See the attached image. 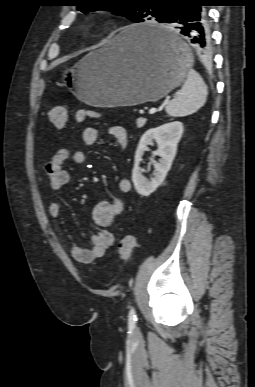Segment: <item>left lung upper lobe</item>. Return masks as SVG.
I'll return each mask as SVG.
<instances>
[{"instance_id": "5c2ea615", "label": "left lung upper lobe", "mask_w": 255, "mask_h": 387, "mask_svg": "<svg viewBox=\"0 0 255 387\" xmlns=\"http://www.w3.org/2000/svg\"><path fill=\"white\" fill-rule=\"evenodd\" d=\"M179 1L181 0H76V6L83 13L109 10L133 22L155 19L162 23L167 6Z\"/></svg>"}]
</instances>
